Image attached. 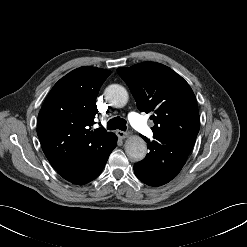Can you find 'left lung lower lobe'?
Listing matches in <instances>:
<instances>
[{"instance_id":"1","label":"left lung lower lobe","mask_w":247,"mask_h":247,"mask_svg":"<svg viewBox=\"0 0 247 247\" xmlns=\"http://www.w3.org/2000/svg\"><path fill=\"white\" fill-rule=\"evenodd\" d=\"M147 146L150 152L134 165V172L139 180L150 186H161L171 181L184 166L193 147L184 142L160 144L150 140Z\"/></svg>"}]
</instances>
